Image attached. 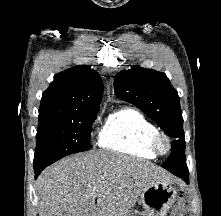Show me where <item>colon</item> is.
<instances>
[{"label":"colon","mask_w":221,"mask_h":216,"mask_svg":"<svg viewBox=\"0 0 221 216\" xmlns=\"http://www.w3.org/2000/svg\"><path fill=\"white\" fill-rule=\"evenodd\" d=\"M186 210L185 197L183 192H181L178 196L177 201L173 205L172 211L169 216H183Z\"/></svg>","instance_id":"1"}]
</instances>
